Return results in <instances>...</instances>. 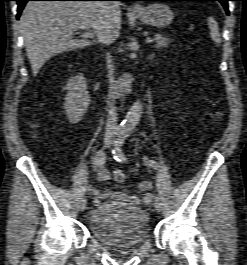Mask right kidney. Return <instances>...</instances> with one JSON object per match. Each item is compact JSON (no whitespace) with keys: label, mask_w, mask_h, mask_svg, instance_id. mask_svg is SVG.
Wrapping results in <instances>:
<instances>
[{"label":"right kidney","mask_w":247,"mask_h":265,"mask_svg":"<svg viewBox=\"0 0 247 265\" xmlns=\"http://www.w3.org/2000/svg\"><path fill=\"white\" fill-rule=\"evenodd\" d=\"M65 90L67 94L63 107L69 123L76 124L83 118L90 104L84 76L76 75L70 78Z\"/></svg>","instance_id":"obj_1"}]
</instances>
